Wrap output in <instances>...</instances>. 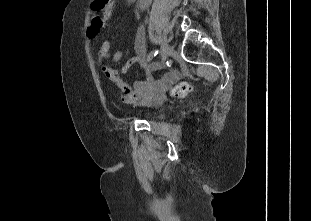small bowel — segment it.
I'll return each mask as SVG.
<instances>
[{"label": "small bowel", "instance_id": "small-bowel-1", "mask_svg": "<svg viewBox=\"0 0 311 221\" xmlns=\"http://www.w3.org/2000/svg\"><path fill=\"white\" fill-rule=\"evenodd\" d=\"M145 40V31L143 28H139L134 42L136 56L130 58L120 69L107 65L106 60L111 58L113 62H119L123 56L122 50H117L112 56H110V53H97L99 69L108 80L114 81L118 85L122 100L126 104L143 103L152 100L158 96L165 86L163 80H144L127 84L121 79L132 67L144 62L146 57ZM99 46H111V42L104 40Z\"/></svg>", "mask_w": 311, "mask_h": 221}]
</instances>
